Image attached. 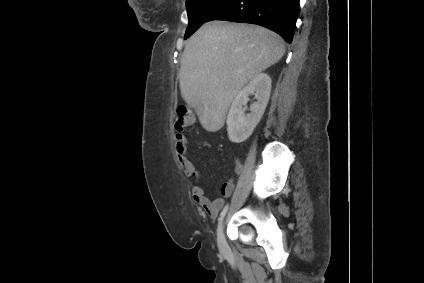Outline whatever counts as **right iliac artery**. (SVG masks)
Masks as SVG:
<instances>
[{"instance_id": "1", "label": "right iliac artery", "mask_w": 424, "mask_h": 283, "mask_svg": "<svg viewBox=\"0 0 424 283\" xmlns=\"http://www.w3.org/2000/svg\"><path fill=\"white\" fill-rule=\"evenodd\" d=\"M227 210H228V205H226V206L223 208L222 212L220 213V216H219V221H220V222L223 220L224 216L226 215Z\"/></svg>"}]
</instances>
